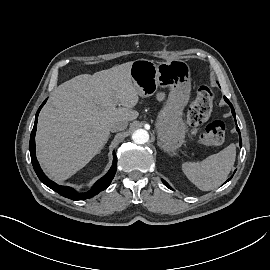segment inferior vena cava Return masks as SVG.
<instances>
[{"mask_svg": "<svg viewBox=\"0 0 270 270\" xmlns=\"http://www.w3.org/2000/svg\"><path fill=\"white\" fill-rule=\"evenodd\" d=\"M128 125V122L127 121H118V122H114L112 125H111V131L112 132H116V131H122L124 129H126Z\"/></svg>", "mask_w": 270, "mask_h": 270, "instance_id": "obj_1", "label": "inferior vena cava"}]
</instances>
